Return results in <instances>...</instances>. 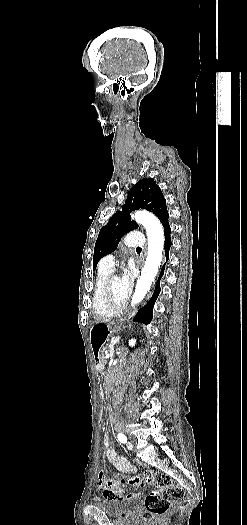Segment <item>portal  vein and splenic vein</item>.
<instances>
[{"mask_svg":"<svg viewBox=\"0 0 247 525\" xmlns=\"http://www.w3.org/2000/svg\"><path fill=\"white\" fill-rule=\"evenodd\" d=\"M106 358H110V353H106Z\"/></svg>","mask_w":247,"mask_h":525,"instance_id":"1","label":"portal vein and splenic vein"}]
</instances>
